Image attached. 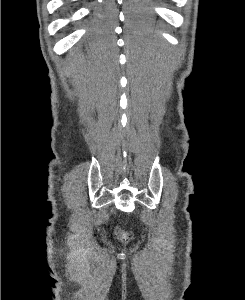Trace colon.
Listing matches in <instances>:
<instances>
[{
	"label": "colon",
	"instance_id": "colon-1",
	"mask_svg": "<svg viewBox=\"0 0 245 300\" xmlns=\"http://www.w3.org/2000/svg\"><path fill=\"white\" fill-rule=\"evenodd\" d=\"M119 236L123 239V240H126L130 237V234L126 231H122L120 230L119 232Z\"/></svg>",
	"mask_w": 245,
	"mask_h": 300
}]
</instances>
